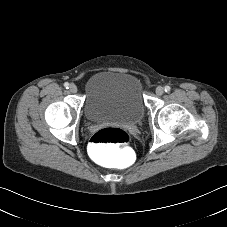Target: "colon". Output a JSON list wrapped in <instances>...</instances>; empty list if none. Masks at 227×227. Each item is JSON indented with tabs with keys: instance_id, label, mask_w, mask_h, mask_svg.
Instances as JSON below:
<instances>
[{
	"instance_id": "1",
	"label": "colon",
	"mask_w": 227,
	"mask_h": 227,
	"mask_svg": "<svg viewBox=\"0 0 227 227\" xmlns=\"http://www.w3.org/2000/svg\"><path fill=\"white\" fill-rule=\"evenodd\" d=\"M130 141L129 134L119 128H105L96 132L90 141V149L105 166L123 164L125 149Z\"/></svg>"
}]
</instances>
